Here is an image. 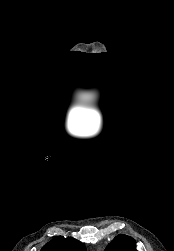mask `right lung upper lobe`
<instances>
[{
  "instance_id": "cb5924a9",
  "label": "right lung upper lobe",
  "mask_w": 174,
  "mask_h": 251,
  "mask_svg": "<svg viewBox=\"0 0 174 251\" xmlns=\"http://www.w3.org/2000/svg\"><path fill=\"white\" fill-rule=\"evenodd\" d=\"M41 251H86V248L83 243L72 237L56 236L46 243Z\"/></svg>"
}]
</instances>
